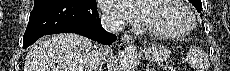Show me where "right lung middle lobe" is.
Masks as SVG:
<instances>
[{"instance_id":"1","label":"right lung middle lobe","mask_w":230,"mask_h":71,"mask_svg":"<svg viewBox=\"0 0 230 71\" xmlns=\"http://www.w3.org/2000/svg\"><path fill=\"white\" fill-rule=\"evenodd\" d=\"M35 1H37V0H35ZM81 1H83V2H85V3H92V2H95V0H81Z\"/></svg>"}]
</instances>
